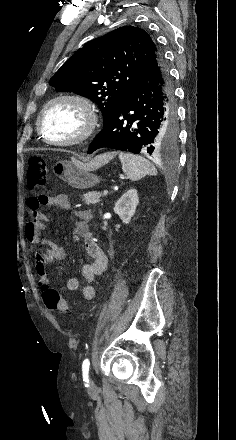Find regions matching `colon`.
<instances>
[{
    "label": "colon",
    "instance_id": "colon-1",
    "mask_svg": "<svg viewBox=\"0 0 236 440\" xmlns=\"http://www.w3.org/2000/svg\"><path fill=\"white\" fill-rule=\"evenodd\" d=\"M48 179V167L46 160L41 156H34L29 161L27 171L28 186L32 189L42 187ZM42 298L45 306L50 311H58L60 313H68L69 308L67 302L62 299L57 289L45 285L42 288Z\"/></svg>",
    "mask_w": 236,
    "mask_h": 440
}]
</instances>
